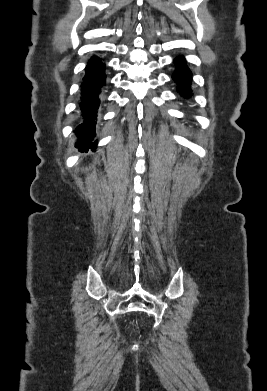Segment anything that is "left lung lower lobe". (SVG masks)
<instances>
[{
	"mask_svg": "<svg viewBox=\"0 0 267 391\" xmlns=\"http://www.w3.org/2000/svg\"><path fill=\"white\" fill-rule=\"evenodd\" d=\"M174 62L176 64V70L172 78L177 83L180 94L185 98H189L191 95V72L185 65V59L182 56L177 57Z\"/></svg>",
	"mask_w": 267,
	"mask_h": 391,
	"instance_id": "left-lung-lower-lobe-1",
	"label": "left lung lower lobe"
}]
</instances>
